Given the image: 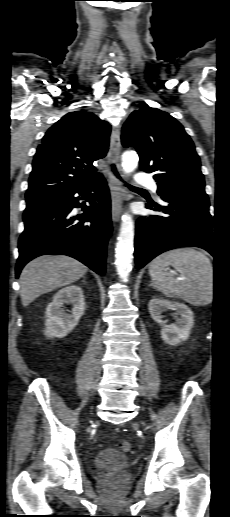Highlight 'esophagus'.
Wrapping results in <instances>:
<instances>
[{"label": "esophagus", "mask_w": 230, "mask_h": 517, "mask_svg": "<svg viewBox=\"0 0 230 517\" xmlns=\"http://www.w3.org/2000/svg\"><path fill=\"white\" fill-rule=\"evenodd\" d=\"M110 152L113 161L116 163L117 168L120 169L119 159L121 153L120 144V130L119 127H114L111 133ZM108 181L111 189V213L114 222L120 220L122 213V205L125 196V190L121 181L114 176L113 173H108Z\"/></svg>", "instance_id": "1"}]
</instances>
